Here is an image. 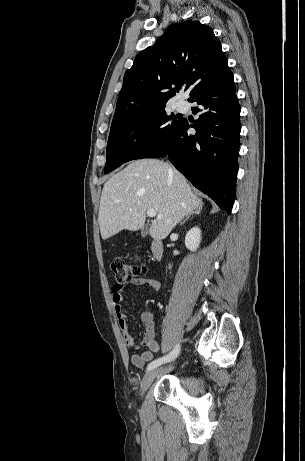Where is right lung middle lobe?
Listing matches in <instances>:
<instances>
[{
    "instance_id": "1",
    "label": "right lung middle lobe",
    "mask_w": 305,
    "mask_h": 461,
    "mask_svg": "<svg viewBox=\"0 0 305 461\" xmlns=\"http://www.w3.org/2000/svg\"><path fill=\"white\" fill-rule=\"evenodd\" d=\"M164 107L127 117L111 125L105 174L125 162L144 158L168 140L181 119L167 115Z\"/></svg>"
}]
</instances>
